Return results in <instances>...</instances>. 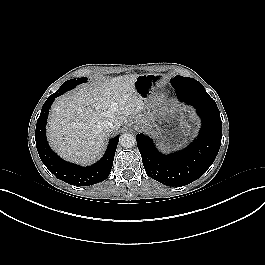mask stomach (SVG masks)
<instances>
[{
  "instance_id": "0dacf381",
  "label": "stomach",
  "mask_w": 265,
  "mask_h": 265,
  "mask_svg": "<svg viewBox=\"0 0 265 265\" xmlns=\"http://www.w3.org/2000/svg\"><path fill=\"white\" fill-rule=\"evenodd\" d=\"M161 83L162 77L159 74H141L137 76L135 87L147 101ZM138 124L156 133V141L164 149L183 146L195 132L192 116L181 106H168L157 114L151 113L146 123L139 122Z\"/></svg>"
}]
</instances>
